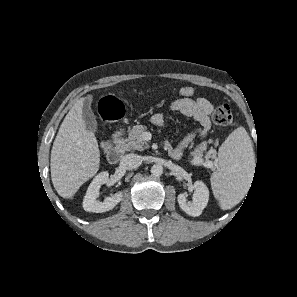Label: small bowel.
Masks as SVG:
<instances>
[{
  "mask_svg": "<svg viewBox=\"0 0 297 297\" xmlns=\"http://www.w3.org/2000/svg\"><path fill=\"white\" fill-rule=\"evenodd\" d=\"M169 109L182 114L185 117L194 119L199 126L189 132L177 145L169 141L164 143V148L173 159L182 157L184 150L196 139H202L211 128L210 114L213 111L212 103L204 97L179 98L171 102ZM151 122L164 127L166 122L162 114L156 113L151 117Z\"/></svg>",
  "mask_w": 297,
  "mask_h": 297,
  "instance_id": "1",
  "label": "small bowel"
}]
</instances>
